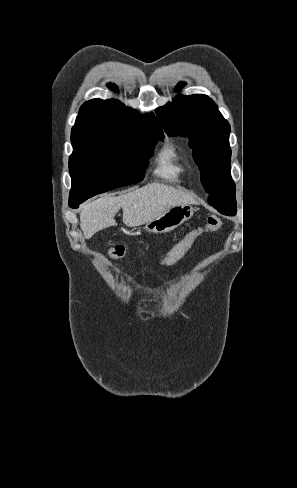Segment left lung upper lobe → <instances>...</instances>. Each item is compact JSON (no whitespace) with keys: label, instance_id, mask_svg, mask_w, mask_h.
Returning <instances> with one entry per match:
<instances>
[{"label":"left lung upper lobe","instance_id":"obj_1","mask_svg":"<svg viewBox=\"0 0 297 488\" xmlns=\"http://www.w3.org/2000/svg\"><path fill=\"white\" fill-rule=\"evenodd\" d=\"M184 86L179 83L180 90ZM165 132L189 138L208 202L222 214L235 215V184L230 175V125L211 98L202 94L177 96L156 109Z\"/></svg>","mask_w":297,"mask_h":488}]
</instances>
